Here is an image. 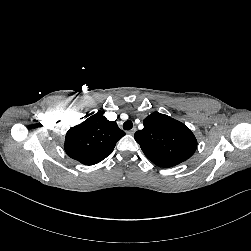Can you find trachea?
<instances>
[{
  "mask_svg": "<svg viewBox=\"0 0 251 251\" xmlns=\"http://www.w3.org/2000/svg\"><path fill=\"white\" fill-rule=\"evenodd\" d=\"M132 127H133V123L130 120L124 122V124H123L124 130H130V129H132Z\"/></svg>",
  "mask_w": 251,
  "mask_h": 251,
  "instance_id": "3493384b",
  "label": "trachea"
}]
</instances>
